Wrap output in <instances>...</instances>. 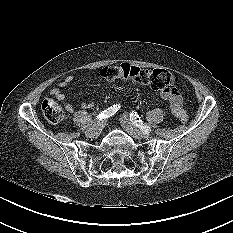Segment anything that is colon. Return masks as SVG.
<instances>
[{"mask_svg":"<svg viewBox=\"0 0 233 233\" xmlns=\"http://www.w3.org/2000/svg\"><path fill=\"white\" fill-rule=\"evenodd\" d=\"M100 74L110 82L130 81L134 84L148 85L158 91H174L177 83V78L167 70H144L127 63L103 68ZM41 110L44 118L53 125H59L65 118L62 107L53 99H45ZM181 121L186 122L187 116H182Z\"/></svg>","mask_w":233,"mask_h":233,"instance_id":"5ec220e1","label":"colon"}]
</instances>
